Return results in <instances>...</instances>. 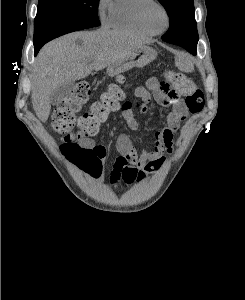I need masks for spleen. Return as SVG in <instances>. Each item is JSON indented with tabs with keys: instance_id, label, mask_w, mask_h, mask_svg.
<instances>
[{
	"instance_id": "3e777b00",
	"label": "spleen",
	"mask_w": 245,
	"mask_h": 300,
	"mask_svg": "<svg viewBox=\"0 0 245 300\" xmlns=\"http://www.w3.org/2000/svg\"><path fill=\"white\" fill-rule=\"evenodd\" d=\"M180 69L184 72H192L194 68L190 60L187 59L184 64L180 66Z\"/></svg>"
}]
</instances>
